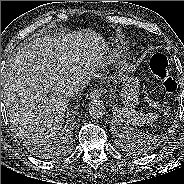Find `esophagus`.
I'll return each mask as SVG.
<instances>
[{"label": "esophagus", "mask_w": 184, "mask_h": 184, "mask_svg": "<svg viewBox=\"0 0 184 184\" xmlns=\"http://www.w3.org/2000/svg\"><path fill=\"white\" fill-rule=\"evenodd\" d=\"M101 96V93L100 92H94L91 97L94 98V99H98L99 97Z\"/></svg>", "instance_id": "1"}]
</instances>
